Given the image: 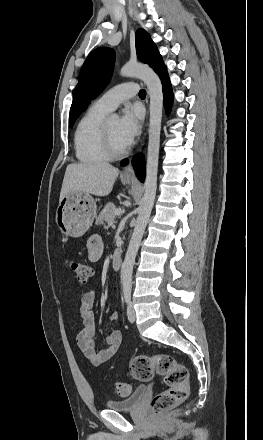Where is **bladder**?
Instances as JSON below:
<instances>
[{
  "label": "bladder",
  "instance_id": "obj_1",
  "mask_svg": "<svg viewBox=\"0 0 263 440\" xmlns=\"http://www.w3.org/2000/svg\"><path fill=\"white\" fill-rule=\"evenodd\" d=\"M146 392V386H138L129 396L125 398L108 400L106 402V408L113 411H133L140 405Z\"/></svg>",
  "mask_w": 263,
  "mask_h": 440
}]
</instances>
